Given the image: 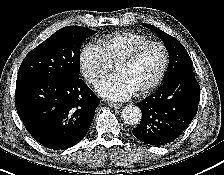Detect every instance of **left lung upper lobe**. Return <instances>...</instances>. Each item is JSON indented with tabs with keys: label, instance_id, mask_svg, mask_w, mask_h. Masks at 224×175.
<instances>
[{
	"label": "left lung upper lobe",
	"instance_id": "obj_1",
	"mask_svg": "<svg viewBox=\"0 0 224 175\" xmlns=\"http://www.w3.org/2000/svg\"><path fill=\"white\" fill-rule=\"evenodd\" d=\"M142 25L155 32V34L164 42L168 50L169 66L165 79L180 72L193 71L190 56L178 40L153 25L146 23H143Z\"/></svg>",
	"mask_w": 224,
	"mask_h": 175
}]
</instances>
